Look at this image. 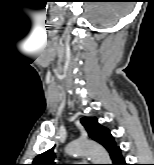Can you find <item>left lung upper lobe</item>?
Returning <instances> with one entry per match:
<instances>
[{
    "mask_svg": "<svg viewBox=\"0 0 154 165\" xmlns=\"http://www.w3.org/2000/svg\"><path fill=\"white\" fill-rule=\"evenodd\" d=\"M82 125L85 127L88 135L101 145H103L109 152L111 158L115 154L116 150L119 148L116 146V143L110 134V131L101 126L96 118H87L84 117L81 119ZM54 149H50L42 154L36 156L33 160L32 165H57L55 164V153Z\"/></svg>",
    "mask_w": 154,
    "mask_h": 165,
    "instance_id": "left-lung-upper-lobe-1",
    "label": "left lung upper lobe"
}]
</instances>
